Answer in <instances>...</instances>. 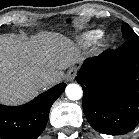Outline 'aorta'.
<instances>
[{
	"mask_svg": "<svg viewBox=\"0 0 139 139\" xmlns=\"http://www.w3.org/2000/svg\"><path fill=\"white\" fill-rule=\"evenodd\" d=\"M65 93L68 99L73 100V101L79 100L83 96V91H82L81 86L75 83L67 85L65 89Z\"/></svg>",
	"mask_w": 139,
	"mask_h": 139,
	"instance_id": "762f6f07",
	"label": "aorta"
}]
</instances>
